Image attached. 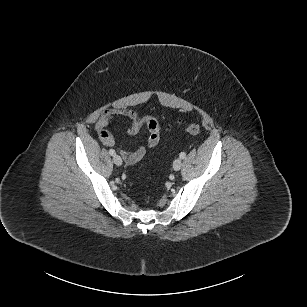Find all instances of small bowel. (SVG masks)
<instances>
[{
    "label": "small bowel",
    "mask_w": 307,
    "mask_h": 307,
    "mask_svg": "<svg viewBox=\"0 0 307 307\" xmlns=\"http://www.w3.org/2000/svg\"><path fill=\"white\" fill-rule=\"evenodd\" d=\"M115 119H127L131 123L128 126L127 132L129 135L137 134L141 129L149 130V137L146 146H140L133 151H129L120 146L119 151L127 164H134L140 161L147 153L148 149L157 146L160 140V125L157 119L152 116L140 118L138 113L132 109L119 108L108 109L103 112L95 125L99 140L106 146H113L115 139L107 129L109 123Z\"/></svg>",
    "instance_id": "c3829d8e"
}]
</instances>
